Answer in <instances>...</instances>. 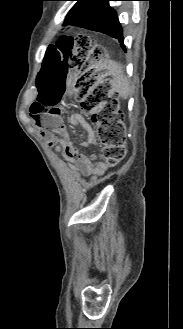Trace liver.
<instances>
[{"label":"liver","instance_id":"obj_1","mask_svg":"<svg viewBox=\"0 0 183 329\" xmlns=\"http://www.w3.org/2000/svg\"><path fill=\"white\" fill-rule=\"evenodd\" d=\"M91 68L95 69V73L103 70L104 75L111 76L112 79L109 81L111 90L116 91L123 99L128 97L129 82L120 63L109 60L105 56L101 57L99 61H92L89 65V69Z\"/></svg>","mask_w":183,"mask_h":329}]
</instances>
